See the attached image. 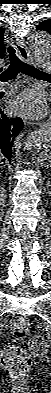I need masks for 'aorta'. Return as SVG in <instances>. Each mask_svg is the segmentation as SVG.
<instances>
[{
    "instance_id": "obj_1",
    "label": "aorta",
    "mask_w": 51,
    "mask_h": 393,
    "mask_svg": "<svg viewBox=\"0 0 51 393\" xmlns=\"http://www.w3.org/2000/svg\"><path fill=\"white\" fill-rule=\"evenodd\" d=\"M29 42L32 47L33 56L37 63L43 62L51 54V37L46 32H35L31 34ZM51 141L50 127L41 128L31 135L28 140L29 146L44 147Z\"/></svg>"
}]
</instances>
